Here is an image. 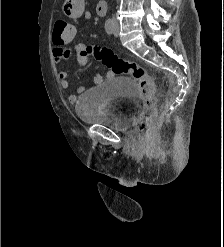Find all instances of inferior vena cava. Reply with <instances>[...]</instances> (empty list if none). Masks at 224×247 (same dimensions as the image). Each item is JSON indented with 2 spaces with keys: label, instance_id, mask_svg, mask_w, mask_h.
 <instances>
[{
  "label": "inferior vena cava",
  "instance_id": "inferior-vena-cava-1",
  "mask_svg": "<svg viewBox=\"0 0 224 247\" xmlns=\"http://www.w3.org/2000/svg\"><path fill=\"white\" fill-rule=\"evenodd\" d=\"M113 22H114L115 26H117V22H116L115 18H113Z\"/></svg>",
  "mask_w": 224,
  "mask_h": 247
}]
</instances>
